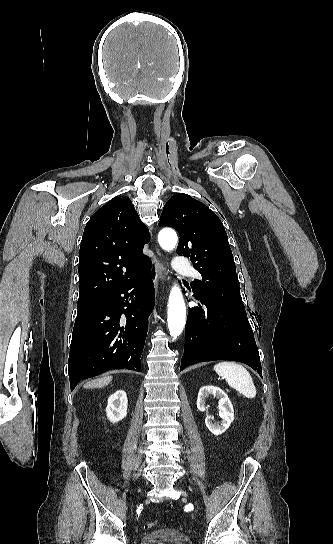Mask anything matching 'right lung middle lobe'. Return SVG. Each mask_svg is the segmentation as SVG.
Returning a JSON list of instances; mask_svg holds the SVG:
<instances>
[{"label": "right lung middle lobe", "instance_id": "right-lung-middle-lobe-1", "mask_svg": "<svg viewBox=\"0 0 333 544\" xmlns=\"http://www.w3.org/2000/svg\"><path fill=\"white\" fill-rule=\"evenodd\" d=\"M110 297H99L94 299H88L83 301H78L77 303V316L85 314L87 312H90L96 308H98L100 305H102L104 302H106Z\"/></svg>", "mask_w": 333, "mask_h": 544}]
</instances>
